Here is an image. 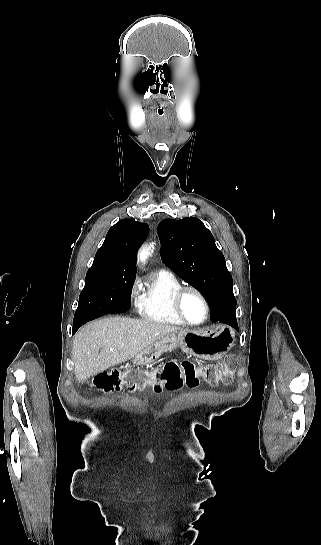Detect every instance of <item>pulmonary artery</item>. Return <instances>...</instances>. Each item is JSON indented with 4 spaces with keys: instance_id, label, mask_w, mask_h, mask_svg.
<instances>
[{
    "instance_id": "obj_1",
    "label": "pulmonary artery",
    "mask_w": 321,
    "mask_h": 545,
    "mask_svg": "<svg viewBox=\"0 0 321 545\" xmlns=\"http://www.w3.org/2000/svg\"><path fill=\"white\" fill-rule=\"evenodd\" d=\"M160 271H163V272H167V273L173 274L172 271L169 270V269L160 268Z\"/></svg>"
}]
</instances>
